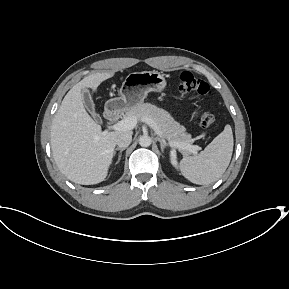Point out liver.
<instances>
[{"mask_svg":"<svg viewBox=\"0 0 289 289\" xmlns=\"http://www.w3.org/2000/svg\"><path fill=\"white\" fill-rule=\"evenodd\" d=\"M114 71L94 73L74 85L62 100L51 125V150L59 170L72 182H102L112 162L116 140L123 132L104 133L83 105L82 89L96 91Z\"/></svg>","mask_w":289,"mask_h":289,"instance_id":"6515ba94","label":"liver"}]
</instances>
